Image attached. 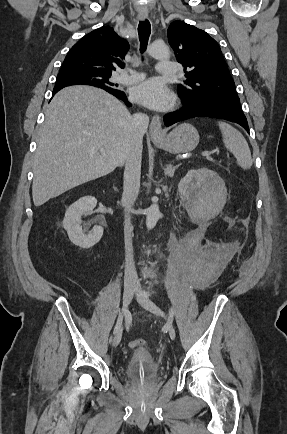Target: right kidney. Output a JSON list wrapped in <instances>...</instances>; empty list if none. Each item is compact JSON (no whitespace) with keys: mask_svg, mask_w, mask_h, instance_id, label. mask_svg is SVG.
<instances>
[{"mask_svg":"<svg viewBox=\"0 0 287 434\" xmlns=\"http://www.w3.org/2000/svg\"><path fill=\"white\" fill-rule=\"evenodd\" d=\"M96 204L97 199L95 197L85 196L74 202L65 213L63 227L67 231L70 241L83 249L94 246L103 235L102 226H95L88 234H85L81 226L82 215L92 211Z\"/></svg>","mask_w":287,"mask_h":434,"instance_id":"1","label":"right kidney"}]
</instances>
